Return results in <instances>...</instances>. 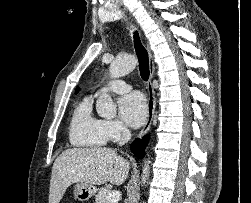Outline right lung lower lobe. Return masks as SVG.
<instances>
[{"instance_id":"obj_1","label":"right lung lower lobe","mask_w":251,"mask_h":203,"mask_svg":"<svg viewBox=\"0 0 251 203\" xmlns=\"http://www.w3.org/2000/svg\"><path fill=\"white\" fill-rule=\"evenodd\" d=\"M149 136H145L142 140L137 139L131 145V150L138 158H143L145 154V147L148 143Z\"/></svg>"}]
</instances>
